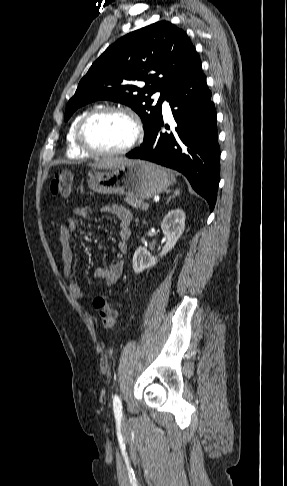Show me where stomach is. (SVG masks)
Listing matches in <instances>:
<instances>
[{
	"mask_svg": "<svg viewBox=\"0 0 287 486\" xmlns=\"http://www.w3.org/2000/svg\"><path fill=\"white\" fill-rule=\"evenodd\" d=\"M170 183L164 168L141 160H128L116 168L98 172L88 180L89 188L99 194H121L139 200L162 193Z\"/></svg>",
	"mask_w": 287,
	"mask_h": 486,
	"instance_id": "0dacf381",
	"label": "stomach"
}]
</instances>
